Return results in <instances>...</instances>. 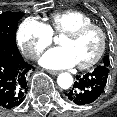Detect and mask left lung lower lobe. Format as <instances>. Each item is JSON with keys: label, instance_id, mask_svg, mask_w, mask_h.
Returning <instances> with one entry per match:
<instances>
[{"label": "left lung lower lobe", "instance_id": "left-lung-lower-lobe-1", "mask_svg": "<svg viewBox=\"0 0 117 117\" xmlns=\"http://www.w3.org/2000/svg\"><path fill=\"white\" fill-rule=\"evenodd\" d=\"M109 67L97 66L92 72L76 76L73 88L66 93L68 100L77 105H87L96 101L104 92L109 78Z\"/></svg>", "mask_w": 117, "mask_h": 117}]
</instances>
